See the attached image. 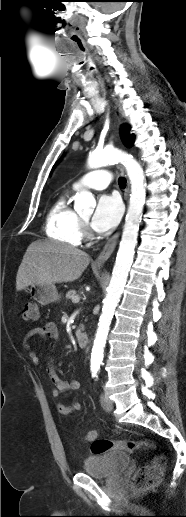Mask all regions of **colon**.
I'll return each instance as SVG.
<instances>
[{
	"label": "colon",
	"instance_id": "colon-1",
	"mask_svg": "<svg viewBox=\"0 0 186 517\" xmlns=\"http://www.w3.org/2000/svg\"><path fill=\"white\" fill-rule=\"evenodd\" d=\"M22 318L27 321H35L39 318V307L35 301H27L22 310ZM154 444L148 440H127V441H111L99 439L90 435V448L94 455L103 454L111 450H120L133 452L138 449H150ZM166 459L163 456H157L153 461L141 469H139L134 478L133 486L136 490H147L157 486L163 476L166 467Z\"/></svg>",
	"mask_w": 186,
	"mask_h": 517
}]
</instances>
